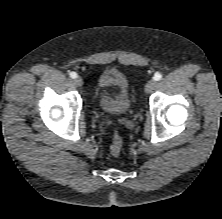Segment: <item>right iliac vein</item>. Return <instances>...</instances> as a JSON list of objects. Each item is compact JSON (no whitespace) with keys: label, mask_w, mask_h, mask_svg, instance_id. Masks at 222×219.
Listing matches in <instances>:
<instances>
[{"label":"right iliac vein","mask_w":222,"mask_h":219,"mask_svg":"<svg viewBox=\"0 0 222 219\" xmlns=\"http://www.w3.org/2000/svg\"><path fill=\"white\" fill-rule=\"evenodd\" d=\"M74 84L76 85V86H78V87H81L82 85H83V79L81 78V77H76L75 79H74Z\"/></svg>","instance_id":"63e3f726"}]
</instances>
